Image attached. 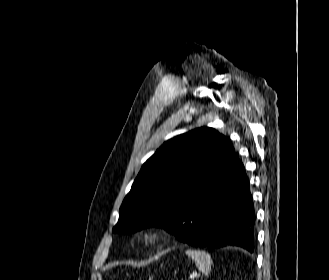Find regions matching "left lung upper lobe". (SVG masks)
Returning a JSON list of instances; mask_svg holds the SVG:
<instances>
[{
	"instance_id": "obj_1",
	"label": "left lung upper lobe",
	"mask_w": 329,
	"mask_h": 280,
	"mask_svg": "<svg viewBox=\"0 0 329 280\" xmlns=\"http://www.w3.org/2000/svg\"><path fill=\"white\" fill-rule=\"evenodd\" d=\"M235 157L231 142L213 128H198L165 142L142 166L113 232L132 233L152 225L172 232L204 197L221 189Z\"/></svg>"
}]
</instances>
